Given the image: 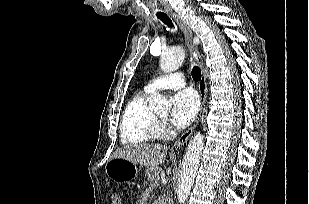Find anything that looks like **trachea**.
Segmentation results:
<instances>
[{"mask_svg": "<svg viewBox=\"0 0 309 204\" xmlns=\"http://www.w3.org/2000/svg\"><path fill=\"white\" fill-rule=\"evenodd\" d=\"M158 19H160L168 27H173V23L167 15L158 16ZM191 73H192V78L194 79V81H199L201 79V71H200V68L198 66H194L192 68Z\"/></svg>", "mask_w": 309, "mask_h": 204, "instance_id": "obj_1", "label": "trachea"}]
</instances>
